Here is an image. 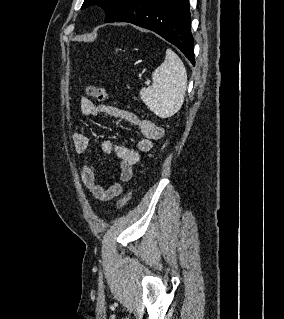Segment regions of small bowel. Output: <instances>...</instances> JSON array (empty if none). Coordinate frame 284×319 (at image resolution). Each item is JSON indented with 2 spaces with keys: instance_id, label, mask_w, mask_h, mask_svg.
I'll return each instance as SVG.
<instances>
[{
  "instance_id": "c3829d8e",
  "label": "small bowel",
  "mask_w": 284,
  "mask_h": 319,
  "mask_svg": "<svg viewBox=\"0 0 284 319\" xmlns=\"http://www.w3.org/2000/svg\"><path fill=\"white\" fill-rule=\"evenodd\" d=\"M81 111L84 115L99 117L109 115L135 125L140 129L143 136L136 148H129L124 144L111 140L102 143V150L107 154H115L120 161V181L125 183L132 179L134 167L139 163L142 155L148 152L153 143L164 135L162 127L149 119H141L135 113L110 105L97 104L88 98L83 97L80 101ZM73 146L77 154L88 151L90 146L89 137L82 131L73 135ZM81 179L90 193L98 200L106 202L121 195L123 187L121 182H114L104 187L97 175L93 164L87 163L81 169Z\"/></svg>"
}]
</instances>
